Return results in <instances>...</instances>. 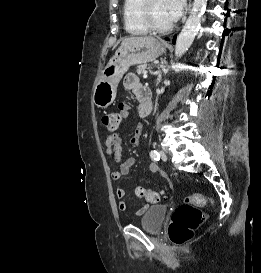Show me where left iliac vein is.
I'll list each match as a JSON object with an SVG mask.
<instances>
[{"instance_id": "4c4485c4", "label": "left iliac vein", "mask_w": 261, "mask_h": 273, "mask_svg": "<svg viewBox=\"0 0 261 273\" xmlns=\"http://www.w3.org/2000/svg\"><path fill=\"white\" fill-rule=\"evenodd\" d=\"M160 157H161V159H162L163 161H166V160H167V155H166V153H165L163 150L160 151Z\"/></svg>"}]
</instances>
